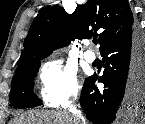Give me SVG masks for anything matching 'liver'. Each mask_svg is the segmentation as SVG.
<instances>
[{
  "instance_id": "obj_1",
  "label": "liver",
  "mask_w": 145,
  "mask_h": 124,
  "mask_svg": "<svg viewBox=\"0 0 145 124\" xmlns=\"http://www.w3.org/2000/svg\"><path fill=\"white\" fill-rule=\"evenodd\" d=\"M10 124H75V121L66 112L30 111L17 117Z\"/></svg>"
}]
</instances>
